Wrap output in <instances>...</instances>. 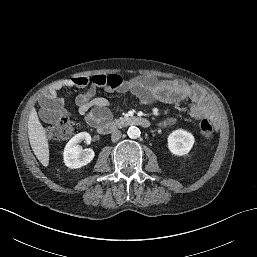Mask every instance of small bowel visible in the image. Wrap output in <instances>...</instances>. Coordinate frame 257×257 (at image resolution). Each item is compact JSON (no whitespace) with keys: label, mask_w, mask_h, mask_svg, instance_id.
<instances>
[{"label":"small bowel","mask_w":257,"mask_h":257,"mask_svg":"<svg viewBox=\"0 0 257 257\" xmlns=\"http://www.w3.org/2000/svg\"><path fill=\"white\" fill-rule=\"evenodd\" d=\"M77 80L84 83H78ZM85 87L87 90L76 97L78 112L86 124L97 127L102 122L111 119L110 102L96 96L98 88L120 94L132 93L142 103L153 101L176 104L182 101L190 102V115L200 119L211 114L212 106L205 94L180 80H157L148 76H137L123 79L116 74L79 77L54 83L40 100L41 113L45 120L55 121L63 106V100L57 94L62 88ZM174 118H168L161 123L162 127L173 125Z\"/></svg>","instance_id":"c3829d8e"}]
</instances>
